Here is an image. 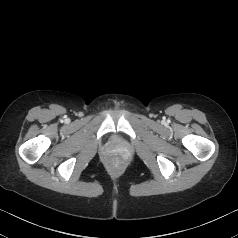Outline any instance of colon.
I'll return each instance as SVG.
<instances>
[{
  "instance_id": "obj_1",
  "label": "colon",
  "mask_w": 238,
  "mask_h": 238,
  "mask_svg": "<svg viewBox=\"0 0 238 238\" xmlns=\"http://www.w3.org/2000/svg\"><path fill=\"white\" fill-rule=\"evenodd\" d=\"M114 166H115V167H118V164H117V163H114Z\"/></svg>"
}]
</instances>
